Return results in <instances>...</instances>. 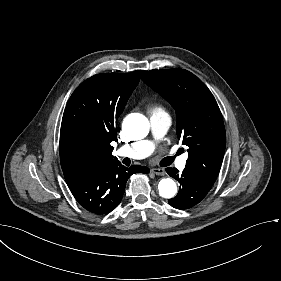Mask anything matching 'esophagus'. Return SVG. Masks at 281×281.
<instances>
[{
	"mask_svg": "<svg viewBox=\"0 0 281 281\" xmlns=\"http://www.w3.org/2000/svg\"><path fill=\"white\" fill-rule=\"evenodd\" d=\"M150 171L158 176H164L166 173L164 168H152Z\"/></svg>",
	"mask_w": 281,
	"mask_h": 281,
	"instance_id": "1",
	"label": "esophagus"
}]
</instances>
